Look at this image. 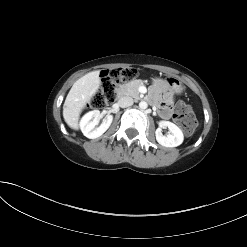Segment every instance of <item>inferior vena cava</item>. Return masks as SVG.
Wrapping results in <instances>:
<instances>
[{
	"instance_id": "602c4592",
	"label": "inferior vena cava",
	"mask_w": 247,
	"mask_h": 247,
	"mask_svg": "<svg viewBox=\"0 0 247 247\" xmlns=\"http://www.w3.org/2000/svg\"><path fill=\"white\" fill-rule=\"evenodd\" d=\"M118 104L122 108L129 107L133 105V98L129 96H123L118 100Z\"/></svg>"
}]
</instances>
